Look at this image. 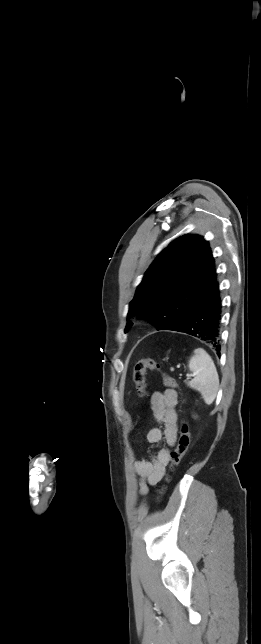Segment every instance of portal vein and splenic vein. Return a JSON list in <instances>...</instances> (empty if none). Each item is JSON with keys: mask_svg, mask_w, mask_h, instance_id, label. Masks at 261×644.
Returning a JSON list of instances; mask_svg holds the SVG:
<instances>
[{"mask_svg": "<svg viewBox=\"0 0 261 644\" xmlns=\"http://www.w3.org/2000/svg\"><path fill=\"white\" fill-rule=\"evenodd\" d=\"M194 374H187V377H194Z\"/></svg>", "mask_w": 261, "mask_h": 644, "instance_id": "obj_1", "label": "portal vein and splenic vein"}]
</instances>
